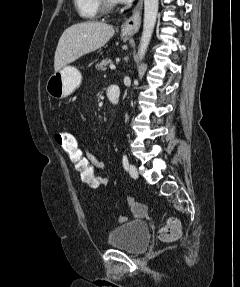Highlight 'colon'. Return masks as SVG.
Returning <instances> with one entry per match:
<instances>
[{"label":"colon","mask_w":240,"mask_h":287,"mask_svg":"<svg viewBox=\"0 0 240 287\" xmlns=\"http://www.w3.org/2000/svg\"><path fill=\"white\" fill-rule=\"evenodd\" d=\"M55 141L68 163L79 176V179L89 185L91 188H97L101 185L100 175L97 169L87 158L85 151L79 146L75 136L67 131H60L55 135ZM139 212L137 215H143ZM126 221L125 216H119L118 222ZM181 236V224L176 218H170L166 224L159 230L158 238L163 242H173Z\"/></svg>","instance_id":"5ec220e1"}]
</instances>
